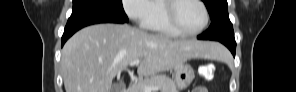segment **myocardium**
I'll use <instances>...</instances> for the list:
<instances>
[{"instance_id":"f54148a6","label":"myocardium","mask_w":296,"mask_h":92,"mask_svg":"<svg viewBox=\"0 0 296 92\" xmlns=\"http://www.w3.org/2000/svg\"><path fill=\"white\" fill-rule=\"evenodd\" d=\"M182 1H187V0L166 1V12H165L166 21H167L168 25L178 34L183 35V36H195V35L201 33L207 27V25L209 23L210 17H209L208 9L203 1L191 0V1L198 3L202 7L203 12H204V22L199 29H197L195 31H186L180 27V25L177 21V18H176V8L179 5V3Z\"/></svg>"}]
</instances>
